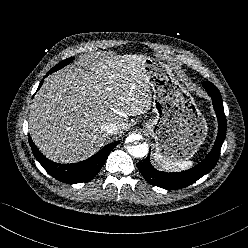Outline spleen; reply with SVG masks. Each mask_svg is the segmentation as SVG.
Segmentation results:
<instances>
[{"label":"spleen","instance_id":"obj_1","mask_svg":"<svg viewBox=\"0 0 248 248\" xmlns=\"http://www.w3.org/2000/svg\"><path fill=\"white\" fill-rule=\"evenodd\" d=\"M155 161L159 164V166L165 170L178 172L182 170H187L193 166L192 161L184 160V161H166L163 160L159 155L155 154Z\"/></svg>","mask_w":248,"mask_h":248}]
</instances>
